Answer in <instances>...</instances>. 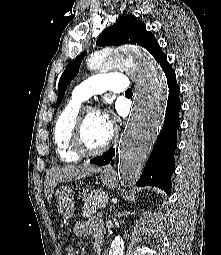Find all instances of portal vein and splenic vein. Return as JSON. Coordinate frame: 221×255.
I'll return each instance as SVG.
<instances>
[{"mask_svg":"<svg viewBox=\"0 0 221 255\" xmlns=\"http://www.w3.org/2000/svg\"><path fill=\"white\" fill-rule=\"evenodd\" d=\"M99 207H100L101 209H102V208H105V207H106V203H105V202H104V203H101Z\"/></svg>","mask_w":221,"mask_h":255,"instance_id":"18ae733b","label":"portal vein and splenic vein"}]
</instances>
